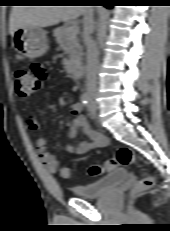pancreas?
<instances>
[{"mask_svg": "<svg viewBox=\"0 0 170 231\" xmlns=\"http://www.w3.org/2000/svg\"><path fill=\"white\" fill-rule=\"evenodd\" d=\"M68 28L69 26L56 28L53 35L60 45V48L64 51L65 58L63 60V65L66 70L71 71L75 69L81 61L82 46L79 43L77 34L71 35L68 32Z\"/></svg>", "mask_w": 170, "mask_h": 231, "instance_id": "obj_1", "label": "pancreas"}]
</instances>
